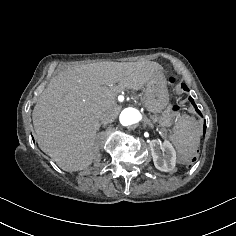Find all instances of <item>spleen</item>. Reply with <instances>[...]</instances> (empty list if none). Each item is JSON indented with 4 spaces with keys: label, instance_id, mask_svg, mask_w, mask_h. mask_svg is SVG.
<instances>
[{
    "label": "spleen",
    "instance_id": "obj_1",
    "mask_svg": "<svg viewBox=\"0 0 236 236\" xmlns=\"http://www.w3.org/2000/svg\"><path fill=\"white\" fill-rule=\"evenodd\" d=\"M201 129L194 119L182 116L177 119L168 134V140L181 155L191 156L200 142Z\"/></svg>",
    "mask_w": 236,
    "mask_h": 236
}]
</instances>
